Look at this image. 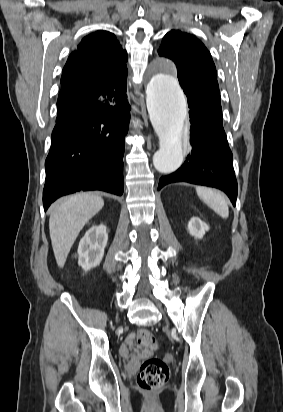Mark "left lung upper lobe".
<instances>
[{
    "label": "left lung upper lobe",
    "instance_id": "left-lung-upper-lobe-1",
    "mask_svg": "<svg viewBox=\"0 0 283 412\" xmlns=\"http://www.w3.org/2000/svg\"><path fill=\"white\" fill-rule=\"evenodd\" d=\"M158 52L176 64L179 83L188 99L222 112L216 68L201 41L190 34L172 30L164 36Z\"/></svg>",
    "mask_w": 283,
    "mask_h": 412
}]
</instances>
